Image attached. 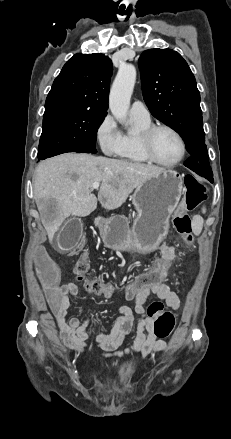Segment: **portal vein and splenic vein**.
Listing matches in <instances>:
<instances>
[{"label": "portal vein and splenic vein", "instance_id": "1", "mask_svg": "<svg viewBox=\"0 0 231 439\" xmlns=\"http://www.w3.org/2000/svg\"><path fill=\"white\" fill-rule=\"evenodd\" d=\"M99 186H100L99 183H93L91 187H92V189H98Z\"/></svg>", "mask_w": 231, "mask_h": 439}]
</instances>
